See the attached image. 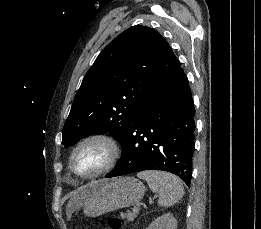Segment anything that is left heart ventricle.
<instances>
[{
    "label": "left heart ventricle",
    "mask_w": 261,
    "mask_h": 229,
    "mask_svg": "<svg viewBox=\"0 0 261 229\" xmlns=\"http://www.w3.org/2000/svg\"><path fill=\"white\" fill-rule=\"evenodd\" d=\"M107 158V152L103 146L92 143L82 147L75 155V167L84 173L97 171L104 165Z\"/></svg>",
    "instance_id": "left-heart-ventricle-1"
}]
</instances>
